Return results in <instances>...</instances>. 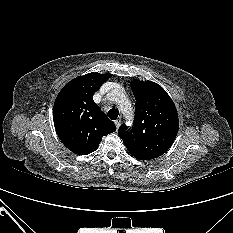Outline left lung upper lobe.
Returning <instances> with one entry per match:
<instances>
[{
    "instance_id": "5c2ea615",
    "label": "left lung upper lobe",
    "mask_w": 233,
    "mask_h": 233,
    "mask_svg": "<svg viewBox=\"0 0 233 233\" xmlns=\"http://www.w3.org/2000/svg\"><path fill=\"white\" fill-rule=\"evenodd\" d=\"M131 88L136 99L134 125L130 132L122 125L118 134L135 158H157L171 147L178 133L176 107L155 82L134 80Z\"/></svg>"
}]
</instances>
